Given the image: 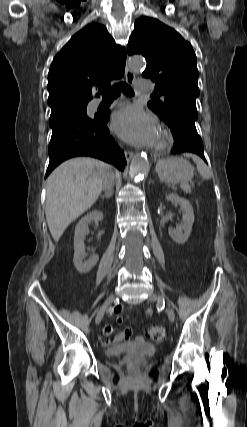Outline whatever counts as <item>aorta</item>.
Here are the masks:
<instances>
[{
  "instance_id": "1",
  "label": "aorta",
  "mask_w": 247,
  "mask_h": 427,
  "mask_svg": "<svg viewBox=\"0 0 247 427\" xmlns=\"http://www.w3.org/2000/svg\"><path fill=\"white\" fill-rule=\"evenodd\" d=\"M145 67V62L141 57H132L129 60V68L133 72H139ZM148 169V160L146 156L137 154L130 164L129 174L131 179H138Z\"/></svg>"
}]
</instances>
